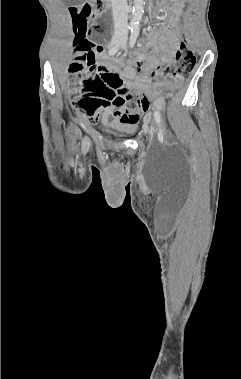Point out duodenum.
<instances>
[{
    "mask_svg": "<svg viewBox=\"0 0 241 379\" xmlns=\"http://www.w3.org/2000/svg\"><path fill=\"white\" fill-rule=\"evenodd\" d=\"M109 1H110V0H102V2H103L104 4H106V5L109 3Z\"/></svg>",
    "mask_w": 241,
    "mask_h": 379,
    "instance_id": "duodenum-1",
    "label": "duodenum"
}]
</instances>
